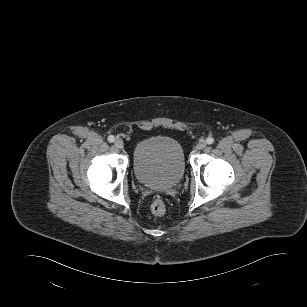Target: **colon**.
<instances>
[{
  "label": "colon",
  "mask_w": 307,
  "mask_h": 307,
  "mask_svg": "<svg viewBox=\"0 0 307 307\" xmlns=\"http://www.w3.org/2000/svg\"><path fill=\"white\" fill-rule=\"evenodd\" d=\"M151 211L156 216H161L166 211L165 203L162 199H155L151 204Z\"/></svg>",
  "instance_id": "1"
}]
</instances>
